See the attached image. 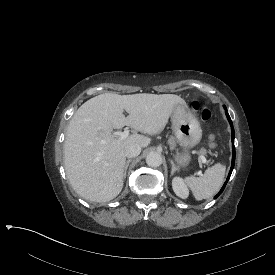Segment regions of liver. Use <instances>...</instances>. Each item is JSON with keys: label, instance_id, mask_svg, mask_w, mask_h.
I'll return each mask as SVG.
<instances>
[{"label": "liver", "instance_id": "liver-1", "mask_svg": "<svg viewBox=\"0 0 275 275\" xmlns=\"http://www.w3.org/2000/svg\"><path fill=\"white\" fill-rule=\"evenodd\" d=\"M178 103L186 106L184 99L172 94L108 93L82 104L69 123L64 144V165L73 189L94 202L116 197L123 185L124 148L130 143L145 147L150 138L133 134L118 141L113 129L132 126L141 132H157Z\"/></svg>", "mask_w": 275, "mask_h": 275}]
</instances>
